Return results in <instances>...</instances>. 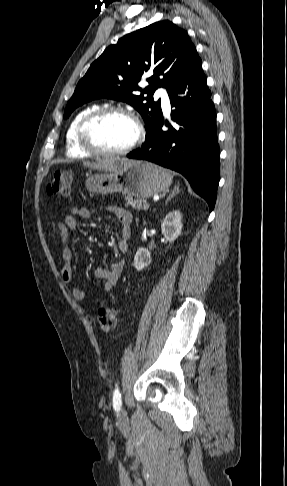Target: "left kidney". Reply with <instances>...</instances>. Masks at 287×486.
Listing matches in <instances>:
<instances>
[{"label":"left kidney","instance_id":"left-kidney-1","mask_svg":"<svg viewBox=\"0 0 287 486\" xmlns=\"http://www.w3.org/2000/svg\"><path fill=\"white\" fill-rule=\"evenodd\" d=\"M182 214L180 211L169 212L161 223L162 234L169 243H173L182 231ZM152 262L150 252L146 248H139L134 257V267L142 270Z\"/></svg>","mask_w":287,"mask_h":486}]
</instances>
